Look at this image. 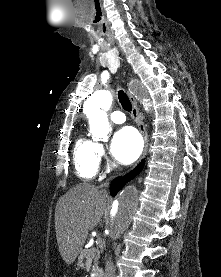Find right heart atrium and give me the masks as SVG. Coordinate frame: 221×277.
<instances>
[{"instance_id": "d8ad5b80", "label": "right heart atrium", "mask_w": 221, "mask_h": 277, "mask_svg": "<svg viewBox=\"0 0 221 277\" xmlns=\"http://www.w3.org/2000/svg\"><path fill=\"white\" fill-rule=\"evenodd\" d=\"M98 158H99V161L105 158V151L102 144H98Z\"/></svg>"}]
</instances>
